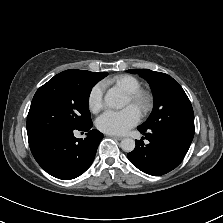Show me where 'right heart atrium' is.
I'll use <instances>...</instances> for the list:
<instances>
[{
    "mask_svg": "<svg viewBox=\"0 0 223 223\" xmlns=\"http://www.w3.org/2000/svg\"><path fill=\"white\" fill-rule=\"evenodd\" d=\"M105 86L103 83L95 84L88 94V107L96 113L103 107V94Z\"/></svg>",
    "mask_w": 223,
    "mask_h": 223,
    "instance_id": "1",
    "label": "right heart atrium"
}]
</instances>
